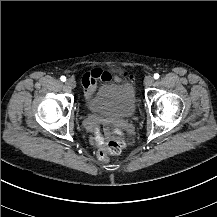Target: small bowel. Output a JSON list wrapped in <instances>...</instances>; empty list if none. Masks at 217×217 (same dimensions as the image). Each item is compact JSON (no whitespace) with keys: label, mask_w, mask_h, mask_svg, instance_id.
Instances as JSON below:
<instances>
[{"label":"small bowel","mask_w":217,"mask_h":217,"mask_svg":"<svg viewBox=\"0 0 217 217\" xmlns=\"http://www.w3.org/2000/svg\"><path fill=\"white\" fill-rule=\"evenodd\" d=\"M98 81L111 83L116 82L121 85H129L133 82V75L127 71L113 75L110 71H100V70H87L84 72L81 83L84 86V94L87 100H91L94 93V86L97 85ZM90 85V86H89ZM86 128L91 132L90 142L96 148H102L105 144L106 137H110V132H106V137L103 135L100 127V122L94 118H87L85 120ZM121 125L115 129L116 133H119V128Z\"/></svg>","instance_id":"obj_1"}]
</instances>
